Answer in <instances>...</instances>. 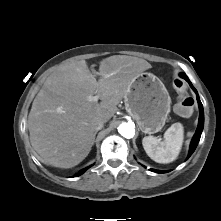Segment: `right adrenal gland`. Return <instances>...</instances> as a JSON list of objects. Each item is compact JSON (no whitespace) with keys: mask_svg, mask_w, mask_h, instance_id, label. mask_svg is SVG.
I'll list each match as a JSON object with an SVG mask.
<instances>
[{"mask_svg":"<svg viewBox=\"0 0 221 221\" xmlns=\"http://www.w3.org/2000/svg\"><path fill=\"white\" fill-rule=\"evenodd\" d=\"M96 134H97V132L94 133V137H93V142H92V144H94V142H95V136H96Z\"/></svg>","mask_w":221,"mask_h":221,"instance_id":"1","label":"right adrenal gland"}]
</instances>
